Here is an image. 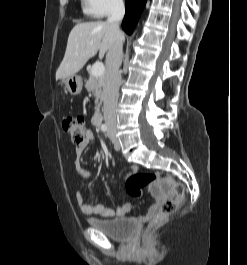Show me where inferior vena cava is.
I'll use <instances>...</instances> for the list:
<instances>
[{
    "label": "inferior vena cava",
    "mask_w": 247,
    "mask_h": 265,
    "mask_svg": "<svg viewBox=\"0 0 247 265\" xmlns=\"http://www.w3.org/2000/svg\"><path fill=\"white\" fill-rule=\"evenodd\" d=\"M125 8L123 0H114L107 22L118 33V36L106 55L105 92H104V120L109 128L116 127V107L121 84L120 66L123 57V35L119 30V23L123 19Z\"/></svg>",
    "instance_id": "602c4592"
}]
</instances>
